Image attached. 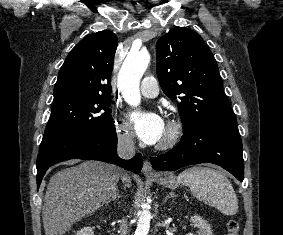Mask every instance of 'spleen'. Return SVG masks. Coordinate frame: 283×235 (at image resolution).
Here are the masks:
<instances>
[{"instance_id": "1", "label": "spleen", "mask_w": 283, "mask_h": 235, "mask_svg": "<svg viewBox=\"0 0 283 235\" xmlns=\"http://www.w3.org/2000/svg\"><path fill=\"white\" fill-rule=\"evenodd\" d=\"M178 183L188 186L195 198L218 209L225 215H235L238 199L230 181L219 171L206 167H191L181 172Z\"/></svg>"}]
</instances>
